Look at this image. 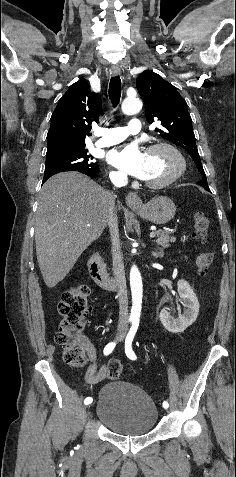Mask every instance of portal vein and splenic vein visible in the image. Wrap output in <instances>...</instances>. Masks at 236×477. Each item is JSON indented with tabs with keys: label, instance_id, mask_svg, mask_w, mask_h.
<instances>
[{
	"label": "portal vein and splenic vein",
	"instance_id": "obj_1",
	"mask_svg": "<svg viewBox=\"0 0 236 477\" xmlns=\"http://www.w3.org/2000/svg\"><path fill=\"white\" fill-rule=\"evenodd\" d=\"M156 236L155 232L150 233V238H154Z\"/></svg>",
	"mask_w": 236,
	"mask_h": 477
}]
</instances>
